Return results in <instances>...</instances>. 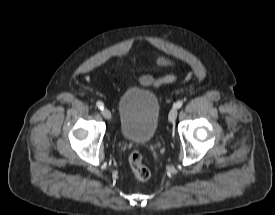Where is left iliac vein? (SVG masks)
Masks as SVG:
<instances>
[{
    "instance_id": "4c4485c4",
    "label": "left iliac vein",
    "mask_w": 275,
    "mask_h": 215,
    "mask_svg": "<svg viewBox=\"0 0 275 215\" xmlns=\"http://www.w3.org/2000/svg\"><path fill=\"white\" fill-rule=\"evenodd\" d=\"M177 114H178L177 109L172 108L169 112V115H168L169 122H171V123L174 122L176 120Z\"/></svg>"
}]
</instances>
